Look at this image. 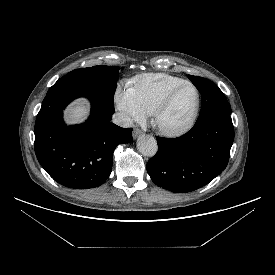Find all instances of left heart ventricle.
<instances>
[{"label": "left heart ventricle", "instance_id": "left-heart-ventricle-1", "mask_svg": "<svg viewBox=\"0 0 275 275\" xmlns=\"http://www.w3.org/2000/svg\"><path fill=\"white\" fill-rule=\"evenodd\" d=\"M195 101V91L190 86L180 88L161 114L160 125L164 128H176L184 124L192 114Z\"/></svg>", "mask_w": 275, "mask_h": 275}]
</instances>
